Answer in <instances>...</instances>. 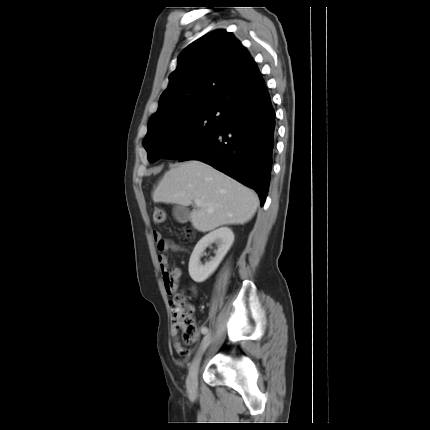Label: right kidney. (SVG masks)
Here are the masks:
<instances>
[{
	"label": "right kidney",
	"instance_id": "ca27d5eb",
	"mask_svg": "<svg viewBox=\"0 0 430 430\" xmlns=\"http://www.w3.org/2000/svg\"><path fill=\"white\" fill-rule=\"evenodd\" d=\"M234 241V234L230 228L222 227L203 236L196 244L190 260L188 271L192 280L196 283H202L207 280L217 269ZM212 243L218 245L215 257L202 265L200 258L206 249Z\"/></svg>",
	"mask_w": 430,
	"mask_h": 430
}]
</instances>
